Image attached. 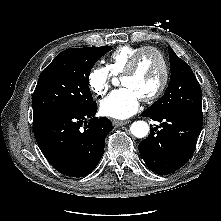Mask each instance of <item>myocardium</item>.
<instances>
[{
    "label": "myocardium",
    "mask_w": 221,
    "mask_h": 221,
    "mask_svg": "<svg viewBox=\"0 0 221 221\" xmlns=\"http://www.w3.org/2000/svg\"><path fill=\"white\" fill-rule=\"evenodd\" d=\"M147 52H153L158 55L162 63L163 75L157 88L151 94L141 98L142 101L144 102H150V101L157 99L163 93L164 89L167 86L168 79H169V66H168V62L164 53L160 49L154 46L143 47L134 54L127 68L122 73V77L133 75L137 70V67H138V64L142 55Z\"/></svg>",
    "instance_id": "myocardium-1"
}]
</instances>
